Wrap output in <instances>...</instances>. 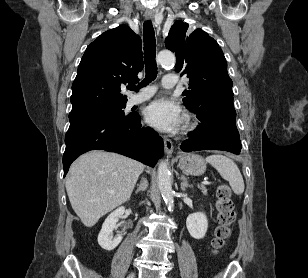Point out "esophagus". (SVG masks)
<instances>
[{"label":"esophagus","instance_id":"1","mask_svg":"<svg viewBox=\"0 0 308 278\" xmlns=\"http://www.w3.org/2000/svg\"><path fill=\"white\" fill-rule=\"evenodd\" d=\"M145 17L148 20L153 19V17H154L153 12L150 11V10H147L145 12ZM163 140H164V146H165V153L168 157H170L173 153V143H172L171 139H169L166 136L163 137Z\"/></svg>","mask_w":308,"mask_h":278}]
</instances>
